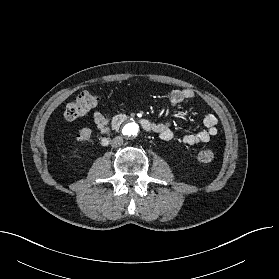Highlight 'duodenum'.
<instances>
[{"instance_id":"obj_1","label":"duodenum","mask_w":279,"mask_h":279,"mask_svg":"<svg viewBox=\"0 0 279 279\" xmlns=\"http://www.w3.org/2000/svg\"><path fill=\"white\" fill-rule=\"evenodd\" d=\"M127 119H128V117L126 115L117 116L112 123V128L113 129H118ZM140 123L145 130H147V131L152 130V125L148 120L142 119L140 121ZM108 144H109V138L108 137H103L101 139V145L106 147V146H108Z\"/></svg>"}]
</instances>
